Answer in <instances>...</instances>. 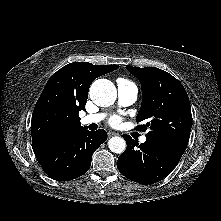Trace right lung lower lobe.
Here are the masks:
<instances>
[{"instance_id":"1","label":"right lung lower lobe","mask_w":221,"mask_h":221,"mask_svg":"<svg viewBox=\"0 0 221 221\" xmlns=\"http://www.w3.org/2000/svg\"><path fill=\"white\" fill-rule=\"evenodd\" d=\"M106 139L105 130L88 131L84 127L35 155L49 177L57 181H68L87 172L92 154Z\"/></svg>"}]
</instances>
